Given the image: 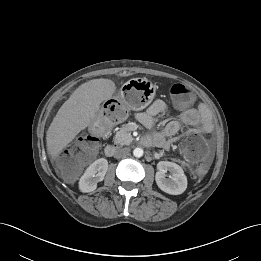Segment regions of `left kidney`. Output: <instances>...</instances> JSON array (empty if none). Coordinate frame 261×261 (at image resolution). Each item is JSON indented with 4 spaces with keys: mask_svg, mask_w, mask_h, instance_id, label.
Listing matches in <instances>:
<instances>
[{
    "mask_svg": "<svg viewBox=\"0 0 261 261\" xmlns=\"http://www.w3.org/2000/svg\"><path fill=\"white\" fill-rule=\"evenodd\" d=\"M157 169L155 180L162 191L171 195H179L186 190L187 177L179 165L169 161H160ZM167 171L170 172L169 178L165 177Z\"/></svg>",
    "mask_w": 261,
    "mask_h": 261,
    "instance_id": "obj_1",
    "label": "left kidney"
}]
</instances>
